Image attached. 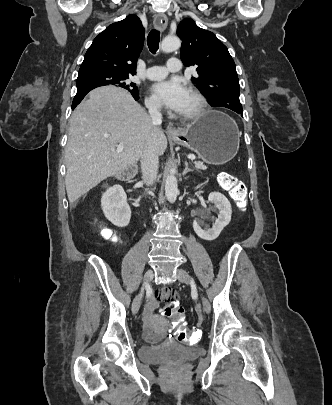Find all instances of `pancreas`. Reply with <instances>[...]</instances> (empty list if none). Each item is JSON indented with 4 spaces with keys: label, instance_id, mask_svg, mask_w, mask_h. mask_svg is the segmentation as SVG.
I'll return each mask as SVG.
<instances>
[{
    "label": "pancreas",
    "instance_id": "cf45deb5",
    "mask_svg": "<svg viewBox=\"0 0 332 405\" xmlns=\"http://www.w3.org/2000/svg\"><path fill=\"white\" fill-rule=\"evenodd\" d=\"M194 164L197 170H204L206 168V166L200 161H195Z\"/></svg>",
    "mask_w": 332,
    "mask_h": 405
}]
</instances>
